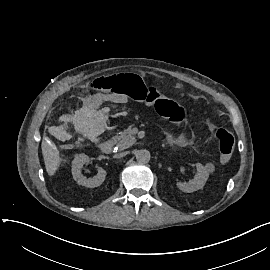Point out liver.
Returning <instances> with one entry per match:
<instances>
[{
	"label": "liver",
	"instance_id": "1",
	"mask_svg": "<svg viewBox=\"0 0 270 270\" xmlns=\"http://www.w3.org/2000/svg\"><path fill=\"white\" fill-rule=\"evenodd\" d=\"M42 154L48 175H54L61 161L57 147L53 144H48L47 142L43 141Z\"/></svg>",
	"mask_w": 270,
	"mask_h": 270
}]
</instances>
